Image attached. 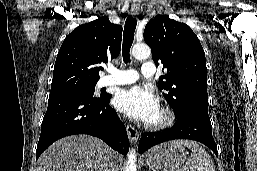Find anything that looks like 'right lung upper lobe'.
Returning a JSON list of instances; mask_svg holds the SVG:
<instances>
[{"mask_svg": "<svg viewBox=\"0 0 257 171\" xmlns=\"http://www.w3.org/2000/svg\"><path fill=\"white\" fill-rule=\"evenodd\" d=\"M121 40L122 26L107 16L77 27L61 45L51 87L97 82L100 65L119 55Z\"/></svg>", "mask_w": 257, "mask_h": 171, "instance_id": "right-lung-upper-lobe-1", "label": "right lung upper lobe"}]
</instances>
